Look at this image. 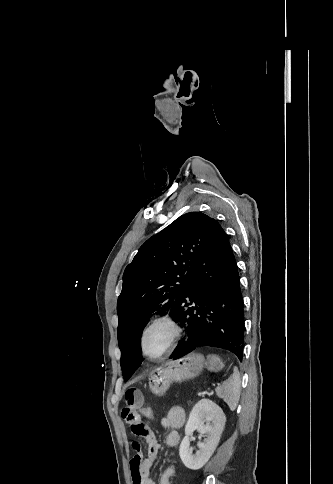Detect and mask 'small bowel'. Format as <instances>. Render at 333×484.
I'll return each instance as SVG.
<instances>
[{"label": "small bowel", "mask_w": 333, "mask_h": 484, "mask_svg": "<svg viewBox=\"0 0 333 484\" xmlns=\"http://www.w3.org/2000/svg\"><path fill=\"white\" fill-rule=\"evenodd\" d=\"M144 397L137 388H129L124 394V407L122 418L130 425L134 435L143 437L147 443V455L144 457L139 445L133 443L135 455L130 461V469L133 484H156L151 477L152 468L158 458L160 441L151 427L142 420V408ZM185 422V411L180 406L169 409L166 416L162 418L161 424L169 429L165 443L167 447L178 446L181 440L179 429ZM174 475V467L170 466L163 474L160 484H171Z\"/></svg>", "instance_id": "c3829d8e"}]
</instances>
